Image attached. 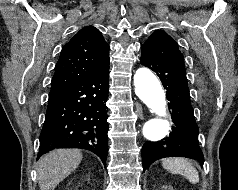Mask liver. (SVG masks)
<instances>
[{"instance_id": "liver-1", "label": "liver", "mask_w": 238, "mask_h": 190, "mask_svg": "<svg viewBox=\"0 0 238 190\" xmlns=\"http://www.w3.org/2000/svg\"><path fill=\"white\" fill-rule=\"evenodd\" d=\"M78 149H56L44 155L37 163L40 190H54L81 163Z\"/></svg>"}]
</instances>
